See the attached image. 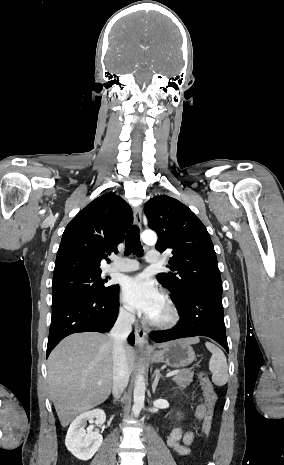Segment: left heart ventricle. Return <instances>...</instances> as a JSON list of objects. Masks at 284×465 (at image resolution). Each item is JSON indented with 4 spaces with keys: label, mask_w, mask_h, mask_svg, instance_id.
<instances>
[{
    "label": "left heart ventricle",
    "mask_w": 284,
    "mask_h": 465,
    "mask_svg": "<svg viewBox=\"0 0 284 465\" xmlns=\"http://www.w3.org/2000/svg\"><path fill=\"white\" fill-rule=\"evenodd\" d=\"M150 318H152L154 320H159V321L165 320L167 318V310H166L163 302L158 307V309L152 314V316Z\"/></svg>",
    "instance_id": "b2bd125f"
}]
</instances>
